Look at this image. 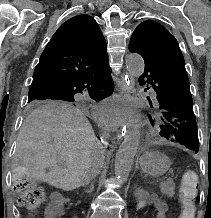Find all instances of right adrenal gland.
<instances>
[{
	"label": "right adrenal gland",
	"instance_id": "2a0ac1e0",
	"mask_svg": "<svg viewBox=\"0 0 211 218\" xmlns=\"http://www.w3.org/2000/svg\"><path fill=\"white\" fill-rule=\"evenodd\" d=\"M93 190H94V186H93V182H92L89 190H85V192H87V194H90V192H93Z\"/></svg>",
	"mask_w": 211,
	"mask_h": 218
}]
</instances>
